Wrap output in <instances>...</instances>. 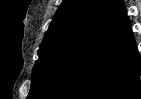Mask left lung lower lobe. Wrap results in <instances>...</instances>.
Masks as SVG:
<instances>
[{"label":"left lung lower lobe","mask_w":141,"mask_h":99,"mask_svg":"<svg viewBox=\"0 0 141 99\" xmlns=\"http://www.w3.org/2000/svg\"><path fill=\"white\" fill-rule=\"evenodd\" d=\"M140 65L130 22L119 3L38 99H141Z\"/></svg>","instance_id":"0a47b994"}]
</instances>
